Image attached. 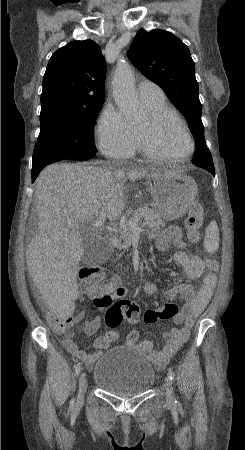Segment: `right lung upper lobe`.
Returning <instances> with one entry per match:
<instances>
[{
	"mask_svg": "<svg viewBox=\"0 0 245 450\" xmlns=\"http://www.w3.org/2000/svg\"><path fill=\"white\" fill-rule=\"evenodd\" d=\"M106 65L91 40L74 41L50 58L43 77L41 109L53 105L93 108L103 104Z\"/></svg>",
	"mask_w": 245,
	"mask_h": 450,
	"instance_id": "right-lung-upper-lobe-1",
	"label": "right lung upper lobe"
}]
</instances>
